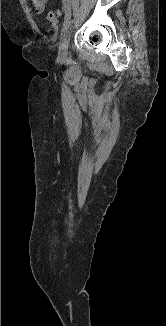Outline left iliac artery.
Instances as JSON below:
<instances>
[{"mask_svg": "<svg viewBox=\"0 0 166 326\" xmlns=\"http://www.w3.org/2000/svg\"><path fill=\"white\" fill-rule=\"evenodd\" d=\"M64 23H63V29H62V34L65 33V31L68 29L69 24H70V19H71V12H66L65 18H64Z\"/></svg>", "mask_w": 166, "mask_h": 326, "instance_id": "1", "label": "left iliac artery"}]
</instances>
